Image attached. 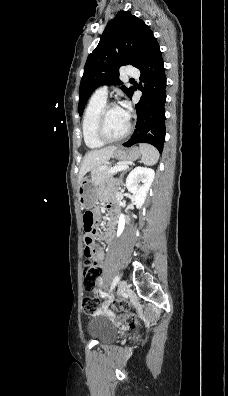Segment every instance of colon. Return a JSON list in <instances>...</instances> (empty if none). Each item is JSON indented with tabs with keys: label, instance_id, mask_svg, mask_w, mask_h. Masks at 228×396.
I'll list each match as a JSON object with an SVG mask.
<instances>
[{
	"label": "colon",
	"instance_id": "5ec220e1",
	"mask_svg": "<svg viewBox=\"0 0 228 396\" xmlns=\"http://www.w3.org/2000/svg\"><path fill=\"white\" fill-rule=\"evenodd\" d=\"M85 236V260L83 262V286L85 290L92 291L95 289L97 279L100 275V268L93 256V249L96 242V220L95 215L91 211L85 212L83 216ZM83 311L86 315H94L100 308V303L92 297H85L82 302ZM117 308L123 312L120 317L130 327L138 325V320L133 313H130L131 304L128 301L121 300L117 303Z\"/></svg>",
	"mask_w": 228,
	"mask_h": 396
}]
</instances>
